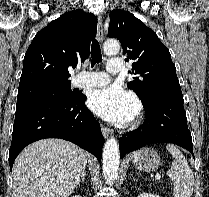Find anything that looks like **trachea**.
<instances>
[{
    "instance_id": "3493384b",
    "label": "trachea",
    "mask_w": 209,
    "mask_h": 197,
    "mask_svg": "<svg viewBox=\"0 0 209 197\" xmlns=\"http://www.w3.org/2000/svg\"><path fill=\"white\" fill-rule=\"evenodd\" d=\"M91 57H92V67L96 63H100L102 61V54L99 42L94 39L91 45Z\"/></svg>"
}]
</instances>
